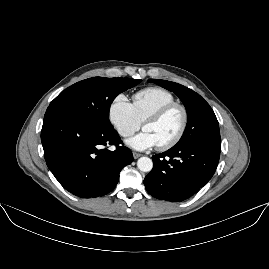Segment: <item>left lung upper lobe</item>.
<instances>
[{
	"instance_id": "obj_1",
	"label": "left lung upper lobe",
	"mask_w": 269,
	"mask_h": 269,
	"mask_svg": "<svg viewBox=\"0 0 269 269\" xmlns=\"http://www.w3.org/2000/svg\"><path fill=\"white\" fill-rule=\"evenodd\" d=\"M148 82L155 83L174 92L186 108L188 124L177 145H191L200 142H211L221 145L217 118L203 97L175 82L159 79H149Z\"/></svg>"
}]
</instances>
